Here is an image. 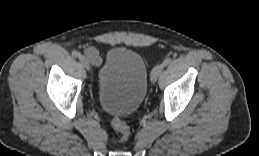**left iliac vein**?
<instances>
[{
    "instance_id": "4c4485c4",
    "label": "left iliac vein",
    "mask_w": 259,
    "mask_h": 156,
    "mask_svg": "<svg viewBox=\"0 0 259 156\" xmlns=\"http://www.w3.org/2000/svg\"><path fill=\"white\" fill-rule=\"evenodd\" d=\"M164 66L162 64H159L157 66H155L151 72V76H150V81L152 83H155L159 77V75L161 74L162 70H163Z\"/></svg>"
}]
</instances>
